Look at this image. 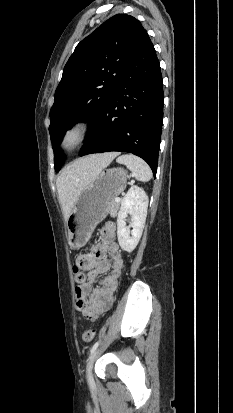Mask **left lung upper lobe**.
Listing matches in <instances>:
<instances>
[{
	"label": "left lung upper lobe",
	"instance_id": "1",
	"mask_svg": "<svg viewBox=\"0 0 233 413\" xmlns=\"http://www.w3.org/2000/svg\"><path fill=\"white\" fill-rule=\"evenodd\" d=\"M145 35L140 21L117 14L76 46L64 67L50 110L49 133L56 172L64 163L57 146L66 130L79 120L90 122L92 130Z\"/></svg>",
	"mask_w": 233,
	"mask_h": 413
}]
</instances>
